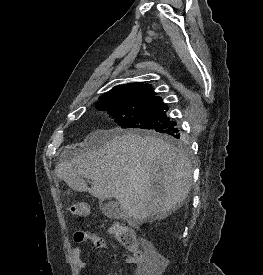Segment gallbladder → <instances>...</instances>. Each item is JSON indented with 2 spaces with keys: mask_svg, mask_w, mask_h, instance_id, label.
I'll list each match as a JSON object with an SVG mask.
<instances>
[{
  "mask_svg": "<svg viewBox=\"0 0 263 275\" xmlns=\"http://www.w3.org/2000/svg\"><path fill=\"white\" fill-rule=\"evenodd\" d=\"M102 212L109 218L118 219L123 216V209L118 202H108L101 204Z\"/></svg>",
  "mask_w": 263,
  "mask_h": 275,
  "instance_id": "obj_1",
  "label": "gallbladder"
}]
</instances>
